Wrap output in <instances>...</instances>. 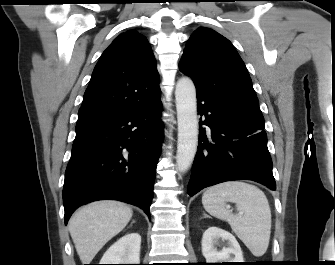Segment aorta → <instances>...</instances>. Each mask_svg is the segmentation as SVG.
<instances>
[{
  "label": "aorta",
  "instance_id": "762f6f07",
  "mask_svg": "<svg viewBox=\"0 0 335 265\" xmlns=\"http://www.w3.org/2000/svg\"><path fill=\"white\" fill-rule=\"evenodd\" d=\"M175 98L178 120L176 164L179 172L184 173L194 160L198 144L196 89L190 78L182 77L177 81Z\"/></svg>",
  "mask_w": 335,
  "mask_h": 265
}]
</instances>
